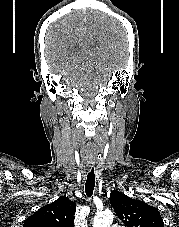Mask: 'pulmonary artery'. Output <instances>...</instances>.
I'll return each instance as SVG.
<instances>
[{"mask_svg": "<svg viewBox=\"0 0 179 227\" xmlns=\"http://www.w3.org/2000/svg\"><path fill=\"white\" fill-rule=\"evenodd\" d=\"M112 227H119V226H117V225H113Z\"/></svg>", "mask_w": 179, "mask_h": 227, "instance_id": "obj_1", "label": "pulmonary artery"}]
</instances>
